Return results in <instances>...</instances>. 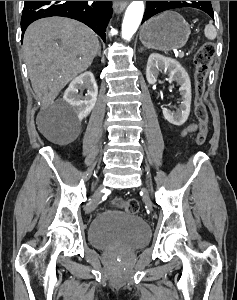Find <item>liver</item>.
Segmentation results:
<instances>
[{"label":"liver","mask_w":237,"mask_h":300,"mask_svg":"<svg viewBox=\"0 0 237 300\" xmlns=\"http://www.w3.org/2000/svg\"><path fill=\"white\" fill-rule=\"evenodd\" d=\"M99 47L97 35L73 19L49 17L32 23L22 51L37 99L54 101L67 83L90 67Z\"/></svg>","instance_id":"liver-1"}]
</instances>
